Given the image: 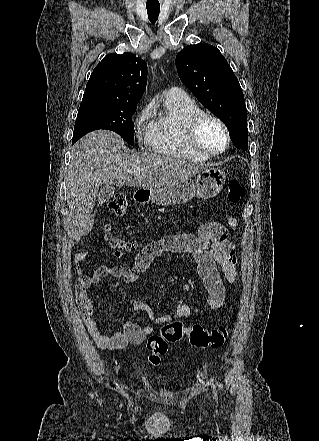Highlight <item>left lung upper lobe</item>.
Wrapping results in <instances>:
<instances>
[{
    "mask_svg": "<svg viewBox=\"0 0 319 441\" xmlns=\"http://www.w3.org/2000/svg\"><path fill=\"white\" fill-rule=\"evenodd\" d=\"M183 84L224 122L236 147L248 149L244 95L238 79L220 51L209 44L189 45L176 56Z\"/></svg>",
    "mask_w": 319,
    "mask_h": 441,
    "instance_id": "1",
    "label": "left lung upper lobe"
}]
</instances>
